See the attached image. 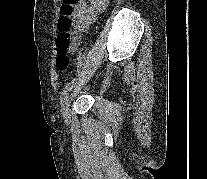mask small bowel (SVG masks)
I'll use <instances>...</instances> for the list:
<instances>
[{"label": "small bowel", "mask_w": 207, "mask_h": 179, "mask_svg": "<svg viewBox=\"0 0 207 179\" xmlns=\"http://www.w3.org/2000/svg\"><path fill=\"white\" fill-rule=\"evenodd\" d=\"M109 0H80L74 13L75 21V40L71 47V51L75 52L81 40V34L84 33L92 22L96 20L98 15L103 12Z\"/></svg>", "instance_id": "small-bowel-1"}]
</instances>
